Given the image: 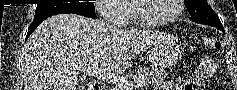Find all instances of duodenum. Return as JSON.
I'll return each instance as SVG.
<instances>
[{"label":"duodenum","mask_w":237,"mask_h":90,"mask_svg":"<svg viewBox=\"0 0 237 90\" xmlns=\"http://www.w3.org/2000/svg\"><path fill=\"white\" fill-rule=\"evenodd\" d=\"M100 90H111L110 87H101Z\"/></svg>","instance_id":"410a0bca"}]
</instances>
